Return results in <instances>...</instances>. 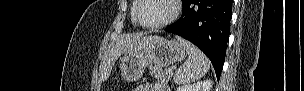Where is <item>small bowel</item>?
<instances>
[{"instance_id":"obj_1","label":"small bowel","mask_w":304,"mask_h":91,"mask_svg":"<svg viewBox=\"0 0 304 91\" xmlns=\"http://www.w3.org/2000/svg\"><path fill=\"white\" fill-rule=\"evenodd\" d=\"M137 91H168V87L160 82L146 83L136 89Z\"/></svg>"}]
</instances>
